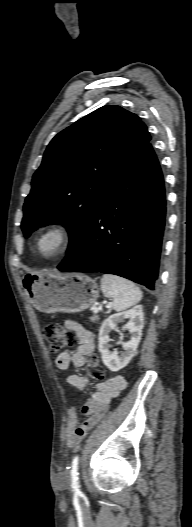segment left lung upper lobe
<instances>
[{
  "label": "left lung upper lobe",
  "instance_id": "1",
  "mask_svg": "<svg viewBox=\"0 0 192 527\" xmlns=\"http://www.w3.org/2000/svg\"><path fill=\"white\" fill-rule=\"evenodd\" d=\"M150 139L140 118L117 105L103 106L57 134L25 200V236L62 223L69 252L111 184Z\"/></svg>",
  "mask_w": 192,
  "mask_h": 527
}]
</instances>
